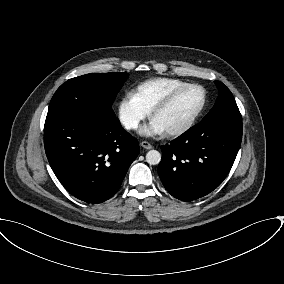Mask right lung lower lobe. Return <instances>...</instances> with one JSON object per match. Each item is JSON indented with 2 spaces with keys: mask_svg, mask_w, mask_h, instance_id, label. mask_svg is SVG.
<instances>
[{
  "mask_svg": "<svg viewBox=\"0 0 284 284\" xmlns=\"http://www.w3.org/2000/svg\"><path fill=\"white\" fill-rule=\"evenodd\" d=\"M44 146L62 185L87 203L111 198L140 151L113 111L60 120L44 129Z\"/></svg>",
  "mask_w": 284,
  "mask_h": 284,
  "instance_id": "obj_1",
  "label": "right lung lower lobe"
}]
</instances>
